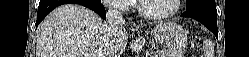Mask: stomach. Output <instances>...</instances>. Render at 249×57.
Returning <instances> with one entry per match:
<instances>
[{
    "label": "stomach",
    "instance_id": "obj_1",
    "mask_svg": "<svg viewBox=\"0 0 249 57\" xmlns=\"http://www.w3.org/2000/svg\"><path fill=\"white\" fill-rule=\"evenodd\" d=\"M151 34L155 42L163 47L160 57H183L187 48V31L181 25L159 23Z\"/></svg>",
    "mask_w": 249,
    "mask_h": 57
}]
</instances>
